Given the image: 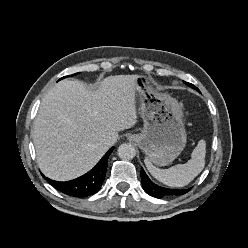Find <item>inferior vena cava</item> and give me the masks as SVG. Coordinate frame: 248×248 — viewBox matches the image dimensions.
Listing matches in <instances>:
<instances>
[{"mask_svg": "<svg viewBox=\"0 0 248 248\" xmlns=\"http://www.w3.org/2000/svg\"><path fill=\"white\" fill-rule=\"evenodd\" d=\"M116 142V139L113 137H107L103 140V144L110 147L111 145H113Z\"/></svg>", "mask_w": 248, "mask_h": 248, "instance_id": "1", "label": "inferior vena cava"}]
</instances>
